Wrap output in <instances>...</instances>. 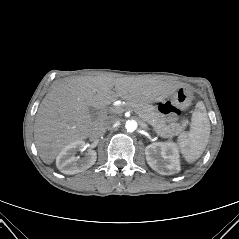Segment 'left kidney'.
<instances>
[{
    "instance_id": "left-kidney-1",
    "label": "left kidney",
    "mask_w": 239,
    "mask_h": 239,
    "mask_svg": "<svg viewBox=\"0 0 239 239\" xmlns=\"http://www.w3.org/2000/svg\"><path fill=\"white\" fill-rule=\"evenodd\" d=\"M149 166L161 175H173L180 171L179 149L173 142H155L145 148Z\"/></svg>"
}]
</instances>
